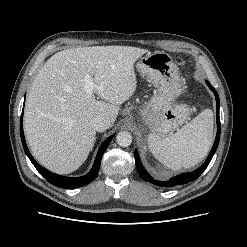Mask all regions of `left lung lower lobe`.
<instances>
[{"mask_svg": "<svg viewBox=\"0 0 247 247\" xmlns=\"http://www.w3.org/2000/svg\"><path fill=\"white\" fill-rule=\"evenodd\" d=\"M207 85L209 86V88L214 92L215 97H216V113H217V135L215 138V142L214 145L209 153V156L207 157L205 163L200 166L198 169H196L195 171L191 172V173H186V174H181L178 175L176 177L171 178L169 181H156L154 180L148 173L147 171L144 169V167L142 166V163L140 161L138 152L135 150V161H136V168L137 171L139 173V175L148 182H151L157 186L160 187H174V186H178V185H182V184H186L188 182H191L195 179H197L202 173L203 171L206 169V167L209 165L217 147L219 144V139H220V132H221V125H220V117H219V107H220V101H219V96L216 92V90L210 85L209 82H207Z\"/></svg>", "mask_w": 247, "mask_h": 247, "instance_id": "obj_1", "label": "left lung lower lobe"}]
</instances>
